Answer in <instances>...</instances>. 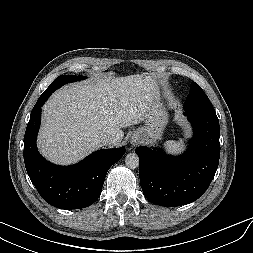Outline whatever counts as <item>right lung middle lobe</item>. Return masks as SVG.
Returning <instances> with one entry per match:
<instances>
[{
    "instance_id": "right-lung-middle-lobe-1",
    "label": "right lung middle lobe",
    "mask_w": 253,
    "mask_h": 253,
    "mask_svg": "<svg viewBox=\"0 0 253 253\" xmlns=\"http://www.w3.org/2000/svg\"><path fill=\"white\" fill-rule=\"evenodd\" d=\"M82 79H85V77L84 76H72V75L59 76L50 84V86L44 91V93L40 97H42V98H44L45 96L49 97L56 89H58L62 85L69 83V82L82 80Z\"/></svg>"
}]
</instances>
